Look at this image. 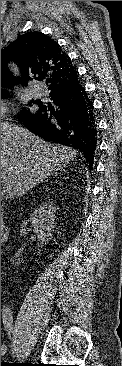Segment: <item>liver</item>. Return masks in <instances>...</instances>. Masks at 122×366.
Returning a JSON list of instances; mask_svg holds the SVG:
<instances>
[{
    "label": "liver",
    "instance_id": "6515ba94",
    "mask_svg": "<svg viewBox=\"0 0 122 366\" xmlns=\"http://www.w3.org/2000/svg\"><path fill=\"white\" fill-rule=\"evenodd\" d=\"M75 155V150L45 142L25 128L1 123V180L14 196L24 194Z\"/></svg>",
    "mask_w": 122,
    "mask_h": 366
}]
</instances>
